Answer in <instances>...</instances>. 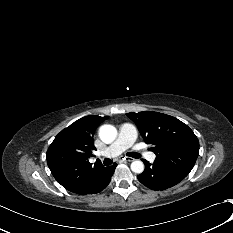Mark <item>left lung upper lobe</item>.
<instances>
[{
  "label": "left lung upper lobe",
  "mask_w": 233,
  "mask_h": 233,
  "mask_svg": "<svg viewBox=\"0 0 233 233\" xmlns=\"http://www.w3.org/2000/svg\"><path fill=\"white\" fill-rule=\"evenodd\" d=\"M138 127L145 143L151 144L156 162L187 176L199 153L194 132L175 117L153 111L126 114Z\"/></svg>",
  "instance_id": "left-lung-upper-lobe-1"
}]
</instances>
